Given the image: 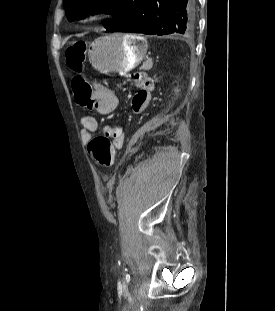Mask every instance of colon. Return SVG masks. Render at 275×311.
<instances>
[{"label": "colon", "mask_w": 275, "mask_h": 311, "mask_svg": "<svg viewBox=\"0 0 275 311\" xmlns=\"http://www.w3.org/2000/svg\"><path fill=\"white\" fill-rule=\"evenodd\" d=\"M86 45L76 42L66 49L65 57L70 68L76 73L73 79L75 101L81 107H90L93 103V89L82 76V65L85 57ZM115 143L107 136H97L88 145V153L92 161L104 168L112 166L114 161Z\"/></svg>", "instance_id": "colon-1"}]
</instances>
